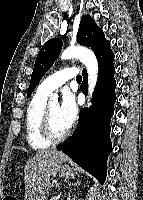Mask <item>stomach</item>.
Segmentation results:
<instances>
[{
    "label": "stomach",
    "mask_w": 143,
    "mask_h": 200,
    "mask_svg": "<svg viewBox=\"0 0 143 200\" xmlns=\"http://www.w3.org/2000/svg\"><path fill=\"white\" fill-rule=\"evenodd\" d=\"M61 177L65 178V179H69V178H74L75 175L73 173V171L66 165H63L59 171Z\"/></svg>",
    "instance_id": "1"
}]
</instances>
